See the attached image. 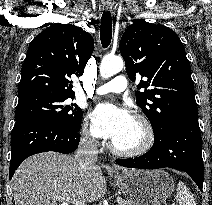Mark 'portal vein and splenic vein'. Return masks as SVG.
<instances>
[{"instance_id":"obj_1","label":"portal vein and splenic vein","mask_w":212,"mask_h":205,"mask_svg":"<svg viewBox=\"0 0 212 205\" xmlns=\"http://www.w3.org/2000/svg\"><path fill=\"white\" fill-rule=\"evenodd\" d=\"M61 201H62L63 205H67L65 203H73L75 205H85L82 201H79V200H76V199H73L70 197L63 198Z\"/></svg>"}]
</instances>
